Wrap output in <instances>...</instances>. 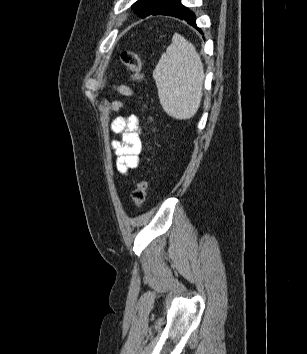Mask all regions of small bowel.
<instances>
[{
    "label": "small bowel",
    "instance_id": "1",
    "mask_svg": "<svg viewBox=\"0 0 307 354\" xmlns=\"http://www.w3.org/2000/svg\"><path fill=\"white\" fill-rule=\"evenodd\" d=\"M118 91L125 96L133 94L132 90L126 85L119 86ZM112 108L118 110L121 108V103L115 102ZM111 129L121 137L120 140H113L111 146L116 155V168L119 173L125 175L140 163L143 144L139 119L135 115L119 117L112 122Z\"/></svg>",
    "mask_w": 307,
    "mask_h": 354
}]
</instances>
